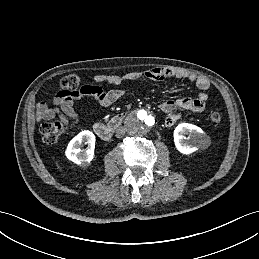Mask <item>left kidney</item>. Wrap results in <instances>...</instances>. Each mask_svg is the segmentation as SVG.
Listing matches in <instances>:
<instances>
[{
	"mask_svg": "<svg viewBox=\"0 0 259 259\" xmlns=\"http://www.w3.org/2000/svg\"><path fill=\"white\" fill-rule=\"evenodd\" d=\"M204 139L203 130L193 124L181 123L174 130L175 147L182 154L188 155L197 151L202 146Z\"/></svg>",
	"mask_w": 259,
	"mask_h": 259,
	"instance_id": "left-kidney-1",
	"label": "left kidney"
}]
</instances>
